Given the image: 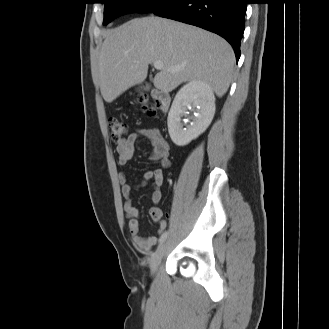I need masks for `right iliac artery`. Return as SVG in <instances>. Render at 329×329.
<instances>
[{
    "mask_svg": "<svg viewBox=\"0 0 329 329\" xmlns=\"http://www.w3.org/2000/svg\"><path fill=\"white\" fill-rule=\"evenodd\" d=\"M168 232H164L161 237L159 238V244H162L165 239L167 238Z\"/></svg>",
    "mask_w": 329,
    "mask_h": 329,
    "instance_id": "obj_1",
    "label": "right iliac artery"
}]
</instances>
